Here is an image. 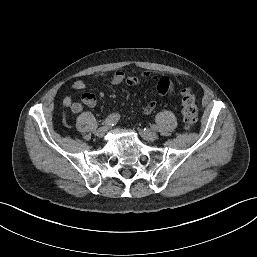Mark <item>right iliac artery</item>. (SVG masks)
<instances>
[{
    "label": "right iliac artery",
    "instance_id": "right-iliac-artery-1",
    "mask_svg": "<svg viewBox=\"0 0 257 257\" xmlns=\"http://www.w3.org/2000/svg\"><path fill=\"white\" fill-rule=\"evenodd\" d=\"M120 119V115L117 113H113L111 115H109L104 121H103V125H111L113 126L114 124H116L118 122V120Z\"/></svg>",
    "mask_w": 257,
    "mask_h": 257
}]
</instances>
